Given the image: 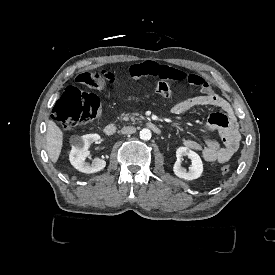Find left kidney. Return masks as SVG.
<instances>
[{
  "label": "left kidney",
  "instance_id": "5707ae66",
  "mask_svg": "<svg viewBox=\"0 0 275 275\" xmlns=\"http://www.w3.org/2000/svg\"><path fill=\"white\" fill-rule=\"evenodd\" d=\"M181 156H187L191 159L190 171H186L184 168L180 167L179 161H176L173 165V173L180 179L193 181L202 176L204 171L203 162L200 156L188 147H179L176 150V158L179 159Z\"/></svg>",
  "mask_w": 275,
  "mask_h": 275
}]
</instances>
